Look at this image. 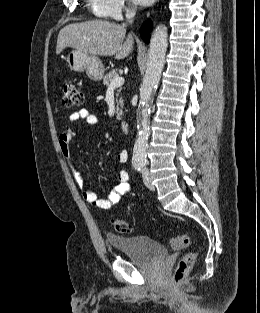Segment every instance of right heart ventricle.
I'll list each match as a JSON object with an SVG mask.
<instances>
[{"instance_id":"e07e8e85","label":"right heart ventricle","mask_w":260,"mask_h":313,"mask_svg":"<svg viewBox=\"0 0 260 313\" xmlns=\"http://www.w3.org/2000/svg\"><path fill=\"white\" fill-rule=\"evenodd\" d=\"M93 8H95L96 0H89Z\"/></svg>"}]
</instances>
